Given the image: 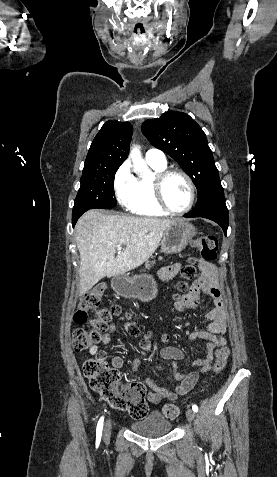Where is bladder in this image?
Listing matches in <instances>:
<instances>
[{"instance_id": "obj_1", "label": "bladder", "mask_w": 277, "mask_h": 477, "mask_svg": "<svg viewBox=\"0 0 277 477\" xmlns=\"http://www.w3.org/2000/svg\"><path fill=\"white\" fill-rule=\"evenodd\" d=\"M130 428L137 434L156 437L169 433L172 423L162 414L152 412L141 420L133 421Z\"/></svg>"}]
</instances>
